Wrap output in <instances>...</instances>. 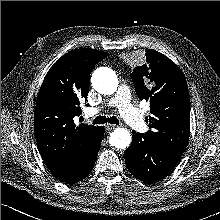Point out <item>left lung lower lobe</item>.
Masks as SVG:
<instances>
[{"label": "left lung lower lobe", "mask_w": 220, "mask_h": 220, "mask_svg": "<svg viewBox=\"0 0 220 220\" xmlns=\"http://www.w3.org/2000/svg\"><path fill=\"white\" fill-rule=\"evenodd\" d=\"M132 132V143L124 152L130 173L148 183H155L167 177L175 168L182 153L162 145L145 134Z\"/></svg>", "instance_id": "1"}]
</instances>
